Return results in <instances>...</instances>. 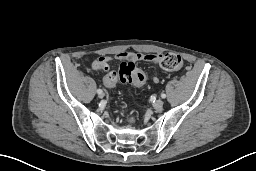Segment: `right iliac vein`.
<instances>
[{
    "label": "right iliac vein",
    "instance_id": "right-iliac-vein-1",
    "mask_svg": "<svg viewBox=\"0 0 256 171\" xmlns=\"http://www.w3.org/2000/svg\"><path fill=\"white\" fill-rule=\"evenodd\" d=\"M98 96H99V98H103L105 95H104V93L102 92V93L98 94Z\"/></svg>",
    "mask_w": 256,
    "mask_h": 171
}]
</instances>
